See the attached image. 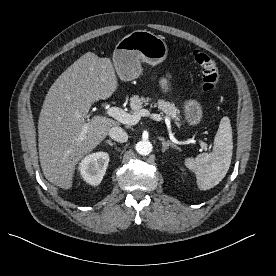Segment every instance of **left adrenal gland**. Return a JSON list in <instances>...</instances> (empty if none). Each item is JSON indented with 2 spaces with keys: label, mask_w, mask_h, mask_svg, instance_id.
<instances>
[{
  "label": "left adrenal gland",
  "mask_w": 276,
  "mask_h": 276,
  "mask_svg": "<svg viewBox=\"0 0 276 276\" xmlns=\"http://www.w3.org/2000/svg\"><path fill=\"white\" fill-rule=\"evenodd\" d=\"M158 139L160 141H162V152H165L169 148V146L179 150V147L177 145H175L174 143L170 142L169 140L166 141L165 138H163V137H158Z\"/></svg>",
  "instance_id": "1"
}]
</instances>
